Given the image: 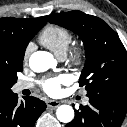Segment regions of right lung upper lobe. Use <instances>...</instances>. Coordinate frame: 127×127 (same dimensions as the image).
<instances>
[{
    "mask_svg": "<svg viewBox=\"0 0 127 127\" xmlns=\"http://www.w3.org/2000/svg\"><path fill=\"white\" fill-rule=\"evenodd\" d=\"M48 16L34 19L0 18V72L22 64L29 41L46 24ZM0 84V99L9 95Z\"/></svg>",
    "mask_w": 127,
    "mask_h": 127,
    "instance_id": "obj_1",
    "label": "right lung upper lobe"
}]
</instances>
